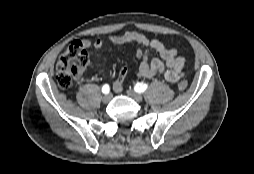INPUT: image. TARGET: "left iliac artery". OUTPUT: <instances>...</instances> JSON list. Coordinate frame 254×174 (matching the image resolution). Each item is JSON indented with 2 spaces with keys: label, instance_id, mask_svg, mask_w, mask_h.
Masks as SVG:
<instances>
[{
  "label": "left iliac artery",
  "instance_id": "left-iliac-artery-1",
  "mask_svg": "<svg viewBox=\"0 0 254 174\" xmlns=\"http://www.w3.org/2000/svg\"><path fill=\"white\" fill-rule=\"evenodd\" d=\"M148 85L145 83H137L134 87V90L138 93H142L147 89Z\"/></svg>",
  "mask_w": 254,
  "mask_h": 174
}]
</instances>
